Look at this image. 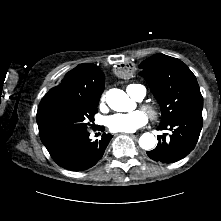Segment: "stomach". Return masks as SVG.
<instances>
[{
	"label": "stomach",
	"instance_id": "1",
	"mask_svg": "<svg viewBox=\"0 0 221 221\" xmlns=\"http://www.w3.org/2000/svg\"><path fill=\"white\" fill-rule=\"evenodd\" d=\"M136 71V64L132 60H125L119 62L115 66V73L121 79H128L134 76Z\"/></svg>",
	"mask_w": 221,
	"mask_h": 221
}]
</instances>
